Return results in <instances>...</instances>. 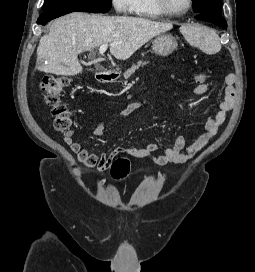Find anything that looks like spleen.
Here are the masks:
<instances>
[{"instance_id": "spleen-1", "label": "spleen", "mask_w": 255, "mask_h": 272, "mask_svg": "<svg viewBox=\"0 0 255 272\" xmlns=\"http://www.w3.org/2000/svg\"><path fill=\"white\" fill-rule=\"evenodd\" d=\"M185 40L207 54H215L221 50L220 38L216 31L200 24H186L180 27Z\"/></svg>"}]
</instances>
